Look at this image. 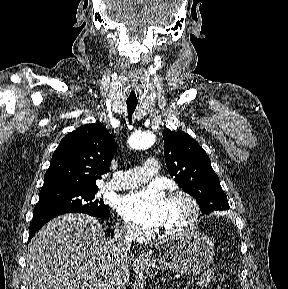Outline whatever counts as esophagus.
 <instances>
[{
    "label": "esophagus",
    "instance_id": "esophagus-1",
    "mask_svg": "<svg viewBox=\"0 0 288 289\" xmlns=\"http://www.w3.org/2000/svg\"><path fill=\"white\" fill-rule=\"evenodd\" d=\"M150 259H151V255L149 253L141 252L139 254V260H141V261H148Z\"/></svg>",
    "mask_w": 288,
    "mask_h": 289
}]
</instances>
